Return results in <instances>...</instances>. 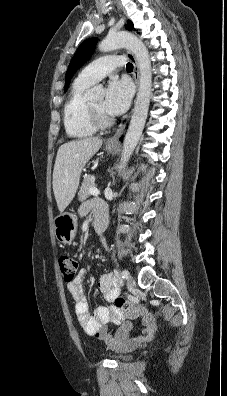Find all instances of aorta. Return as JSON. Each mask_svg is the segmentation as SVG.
I'll list each match as a JSON object with an SVG mask.
<instances>
[{"label": "aorta", "mask_w": 227, "mask_h": 396, "mask_svg": "<svg viewBox=\"0 0 227 396\" xmlns=\"http://www.w3.org/2000/svg\"><path fill=\"white\" fill-rule=\"evenodd\" d=\"M125 47L136 57L140 71L139 88L136 102L123 142L120 171L126 166L142 134L150 103L152 70L149 52L144 43L135 35L127 32H117L108 34L99 44L102 52L113 51ZM98 89L88 91L89 96H95Z\"/></svg>", "instance_id": "aorta-1"}]
</instances>
